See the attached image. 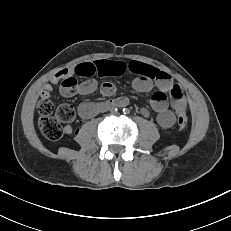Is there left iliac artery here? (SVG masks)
<instances>
[{"label":"left iliac artery","instance_id":"left-iliac-artery-1","mask_svg":"<svg viewBox=\"0 0 231 231\" xmlns=\"http://www.w3.org/2000/svg\"><path fill=\"white\" fill-rule=\"evenodd\" d=\"M123 113H124V114H129V113H130V110H129L128 108H124V109H123Z\"/></svg>","mask_w":231,"mask_h":231}]
</instances>
